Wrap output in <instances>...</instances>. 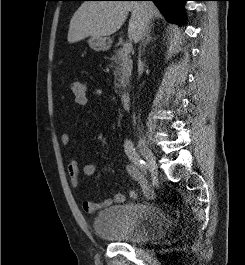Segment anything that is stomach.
<instances>
[{"label":"stomach","instance_id":"0dacf381","mask_svg":"<svg viewBox=\"0 0 245 265\" xmlns=\"http://www.w3.org/2000/svg\"><path fill=\"white\" fill-rule=\"evenodd\" d=\"M89 46L96 52L106 51L110 48L111 40L108 38H95L92 37L88 41Z\"/></svg>","mask_w":245,"mask_h":265}]
</instances>
